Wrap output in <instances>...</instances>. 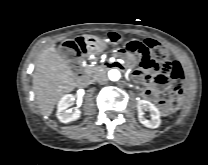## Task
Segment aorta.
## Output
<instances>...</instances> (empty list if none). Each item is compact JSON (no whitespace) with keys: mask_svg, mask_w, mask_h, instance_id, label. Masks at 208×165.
<instances>
[{"mask_svg":"<svg viewBox=\"0 0 208 165\" xmlns=\"http://www.w3.org/2000/svg\"><path fill=\"white\" fill-rule=\"evenodd\" d=\"M108 77L111 81H118L121 77V74H120L119 70L111 69L108 72Z\"/></svg>","mask_w":208,"mask_h":165,"instance_id":"762f6f07","label":"aorta"}]
</instances>
